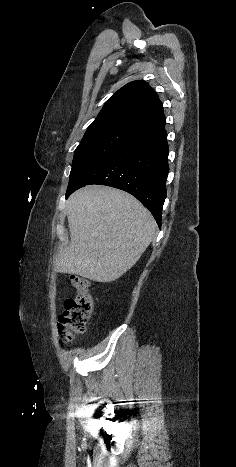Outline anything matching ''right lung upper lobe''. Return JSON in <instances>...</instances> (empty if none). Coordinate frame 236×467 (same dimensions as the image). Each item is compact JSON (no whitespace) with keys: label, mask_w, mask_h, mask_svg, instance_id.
<instances>
[{"label":"right lung upper lobe","mask_w":236,"mask_h":467,"mask_svg":"<svg viewBox=\"0 0 236 467\" xmlns=\"http://www.w3.org/2000/svg\"><path fill=\"white\" fill-rule=\"evenodd\" d=\"M165 122L161 101L144 81H132L106 102L88 127L119 126L141 133Z\"/></svg>","instance_id":"1"}]
</instances>
